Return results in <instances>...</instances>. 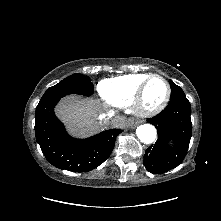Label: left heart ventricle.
<instances>
[{
  "instance_id": "obj_1",
  "label": "left heart ventricle",
  "mask_w": 221,
  "mask_h": 221,
  "mask_svg": "<svg viewBox=\"0 0 221 221\" xmlns=\"http://www.w3.org/2000/svg\"><path fill=\"white\" fill-rule=\"evenodd\" d=\"M166 95V86L162 80L152 79L144 93V105L153 107L160 103Z\"/></svg>"
}]
</instances>
